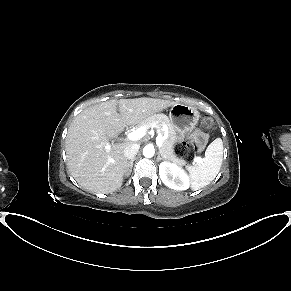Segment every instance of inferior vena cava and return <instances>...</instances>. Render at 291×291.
Returning a JSON list of instances; mask_svg holds the SVG:
<instances>
[{
  "mask_svg": "<svg viewBox=\"0 0 291 291\" xmlns=\"http://www.w3.org/2000/svg\"><path fill=\"white\" fill-rule=\"evenodd\" d=\"M140 145L137 143L128 144L124 149V156L127 159H133L139 151Z\"/></svg>",
  "mask_w": 291,
  "mask_h": 291,
  "instance_id": "1",
  "label": "inferior vena cava"
}]
</instances>
